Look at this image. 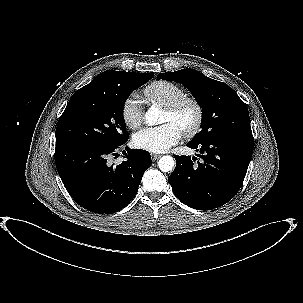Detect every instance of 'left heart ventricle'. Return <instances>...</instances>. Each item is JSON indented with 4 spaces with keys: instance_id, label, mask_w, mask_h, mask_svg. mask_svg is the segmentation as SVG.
Masks as SVG:
<instances>
[{
    "instance_id": "left-heart-ventricle-1",
    "label": "left heart ventricle",
    "mask_w": 303,
    "mask_h": 303,
    "mask_svg": "<svg viewBox=\"0 0 303 303\" xmlns=\"http://www.w3.org/2000/svg\"><path fill=\"white\" fill-rule=\"evenodd\" d=\"M193 120V108L191 106H185L175 115H172L164 110L160 123L165 124L170 122L176 125L180 130H182L183 128L190 126Z\"/></svg>"
}]
</instances>
